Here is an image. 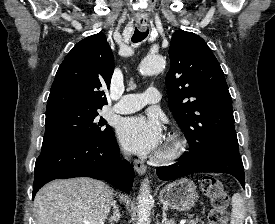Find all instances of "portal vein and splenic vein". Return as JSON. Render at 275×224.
Masks as SVG:
<instances>
[{"label":"portal vein and splenic vein","instance_id":"18ae733b","mask_svg":"<svg viewBox=\"0 0 275 224\" xmlns=\"http://www.w3.org/2000/svg\"><path fill=\"white\" fill-rule=\"evenodd\" d=\"M185 223H186V219H182V220L180 221V224H185ZM86 224H89V223L87 222Z\"/></svg>","mask_w":275,"mask_h":224}]
</instances>
